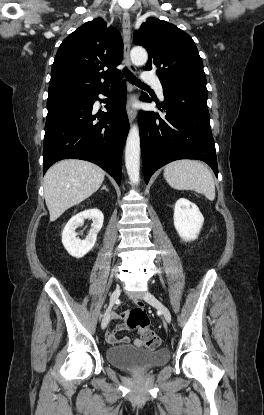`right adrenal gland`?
Here are the masks:
<instances>
[{"instance_id": "obj_1", "label": "right adrenal gland", "mask_w": 264, "mask_h": 415, "mask_svg": "<svg viewBox=\"0 0 264 415\" xmlns=\"http://www.w3.org/2000/svg\"><path fill=\"white\" fill-rule=\"evenodd\" d=\"M101 190H105V191L108 192V189H107V187L105 185H103V187L101 188Z\"/></svg>"}]
</instances>
